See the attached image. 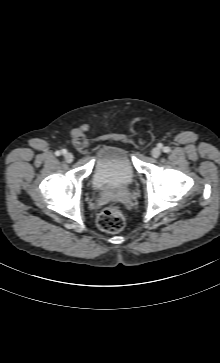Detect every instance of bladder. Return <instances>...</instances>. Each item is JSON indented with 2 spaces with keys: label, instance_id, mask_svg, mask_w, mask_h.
<instances>
[{
  "label": "bladder",
  "instance_id": "bladder-1",
  "mask_svg": "<svg viewBox=\"0 0 220 363\" xmlns=\"http://www.w3.org/2000/svg\"><path fill=\"white\" fill-rule=\"evenodd\" d=\"M136 178V168L128 149L115 142L100 145L91 183L98 190H118L129 187Z\"/></svg>",
  "mask_w": 220,
  "mask_h": 363
}]
</instances>
